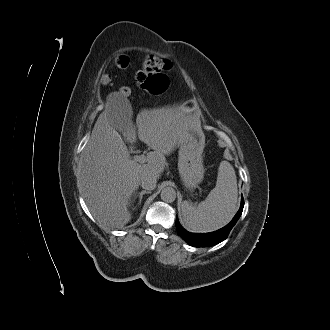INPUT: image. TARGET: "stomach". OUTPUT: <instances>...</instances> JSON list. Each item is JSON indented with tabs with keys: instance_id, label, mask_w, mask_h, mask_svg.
I'll return each instance as SVG.
<instances>
[{
	"instance_id": "obj_1",
	"label": "stomach",
	"mask_w": 330,
	"mask_h": 330,
	"mask_svg": "<svg viewBox=\"0 0 330 330\" xmlns=\"http://www.w3.org/2000/svg\"><path fill=\"white\" fill-rule=\"evenodd\" d=\"M196 106L192 100L186 101L183 107L191 110ZM178 170L183 185L193 190L203 180L205 169L203 166V144L194 136L179 142Z\"/></svg>"
}]
</instances>
